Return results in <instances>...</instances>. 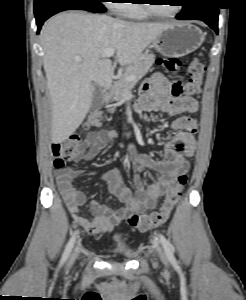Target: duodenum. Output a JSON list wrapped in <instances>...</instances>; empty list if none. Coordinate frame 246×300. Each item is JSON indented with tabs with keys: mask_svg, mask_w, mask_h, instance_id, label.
Returning a JSON list of instances; mask_svg holds the SVG:
<instances>
[{
	"mask_svg": "<svg viewBox=\"0 0 246 300\" xmlns=\"http://www.w3.org/2000/svg\"><path fill=\"white\" fill-rule=\"evenodd\" d=\"M110 89H111L110 86H107L104 88V90H103L104 97H107L109 95Z\"/></svg>",
	"mask_w": 246,
	"mask_h": 300,
	"instance_id": "1",
	"label": "duodenum"
}]
</instances>
